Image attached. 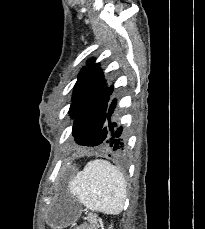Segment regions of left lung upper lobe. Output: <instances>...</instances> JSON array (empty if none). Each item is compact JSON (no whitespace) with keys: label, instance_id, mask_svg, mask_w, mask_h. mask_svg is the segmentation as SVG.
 I'll use <instances>...</instances> for the list:
<instances>
[{"label":"left lung upper lobe","instance_id":"1","mask_svg":"<svg viewBox=\"0 0 205 229\" xmlns=\"http://www.w3.org/2000/svg\"><path fill=\"white\" fill-rule=\"evenodd\" d=\"M113 86L107 87L103 72L90 59L81 69L73 91L70 116L74 119L72 130L75 142L84 146H103L93 136L104 128L106 112Z\"/></svg>","mask_w":205,"mask_h":229}]
</instances>
